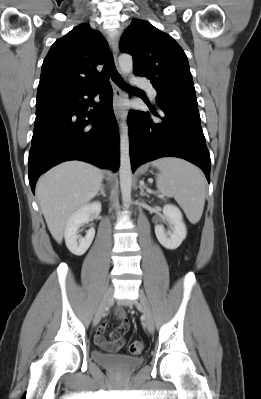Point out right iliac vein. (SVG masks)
Here are the masks:
<instances>
[{"instance_id":"right-iliac-vein-1","label":"right iliac vein","mask_w":261,"mask_h":399,"mask_svg":"<svg viewBox=\"0 0 261 399\" xmlns=\"http://www.w3.org/2000/svg\"><path fill=\"white\" fill-rule=\"evenodd\" d=\"M113 293H114V289H113L112 286H110L107 289V291H106V293H105V295H104V297H103V299H102V301H101V303H100V305H99V307H98V309H97V311L95 313L94 320H93V325L94 326H96L100 322V320L103 317L107 307L111 304L112 299H113Z\"/></svg>"}]
</instances>
